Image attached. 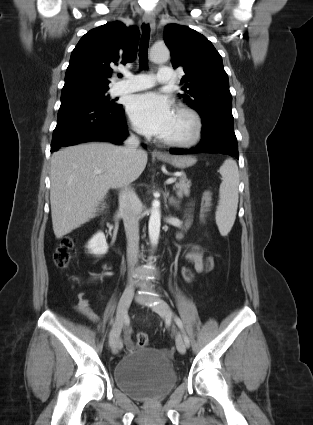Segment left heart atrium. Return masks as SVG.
Returning <instances> with one entry per match:
<instances>
[{
	"label": "left heart atrium",
	"instance_id": "39dd6f15",
	"mask_svg": "<svg viewBox=\"0 0 313 425\" xmlns=\"http://www.w3.org/2000/svg\"><path fill=\"white\" fill-rule=\"evenodd\" d=\"M127 111L137 131L159 137L167 134L175 114L170 100L155 92L132 96Z\"/></svg>",
	"mask_w": 313,
	"mask_h": 425
}]
</instances>
